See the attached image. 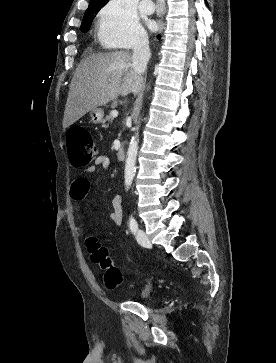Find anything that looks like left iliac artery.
Here are the masks:
<instances>
[{"instance_id":"44dca946","label":"left iliac artery","mask_w":276,"mask_h":363,"mask_svg":"<svg viewBox=\"0 0 276 363\" xmlns=\"http://www.w3.org/2000/svg\"><path fill=\"white\" fill-rule=\"evenodd\" d=\"M129 227H130V230L132 231V233L135 234L138 229V224H137V221L135 220V218L132 216L129 218Z\"/></svg>"}]
</instances>
